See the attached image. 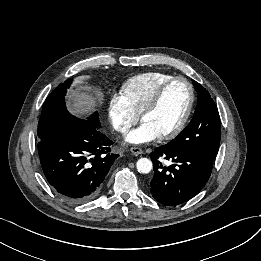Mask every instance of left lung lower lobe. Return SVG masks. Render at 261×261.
<instances>
[{
	"mask_svg": "<svg viewBox=\"0 0 261 261\" xmlns=\"http://www.w3.org/2000/svg\"><path fill=\"white\" fill-rule=\"evenodd\" d=\"M174 164L165 167L160 157ZM154 177L150 182V192L159 203L176 206L197 195L207 183L213 161L196 154L180 145L166 144L150 153Z\"/></svg>",
	"mask_w": 261,
	"mask_h": 261,
	"instance_id": "obj_1",
	"label": "left lung lower lobe"
}]
</instances>
